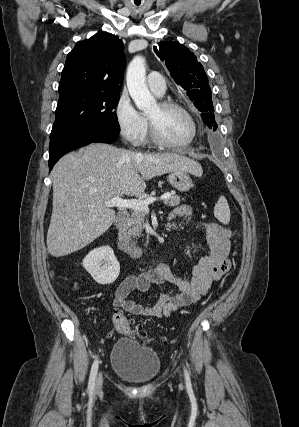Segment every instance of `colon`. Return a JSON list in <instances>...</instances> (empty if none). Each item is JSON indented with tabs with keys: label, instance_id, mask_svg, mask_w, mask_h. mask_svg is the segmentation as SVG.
I'll return each mask as SVG.
<instances>
[{
	"label": "colon",
	"instance_id": "obj_1",
	"mask_svg": "<svg viewBox=\"0 0 299 427\" xmlns=\"http://www.w3.org/2000/svg\"><path fill=\"white\" fill-rule=\"evenodd\" d=\"M113 325L117 332L131 336L145 339V335L140 333L133 325L132 321L127 319L122 313L115 312L113 315Z\"/></svg>",
	"mask_w": 299,
	"mask_h": 427
}]
</instances>
